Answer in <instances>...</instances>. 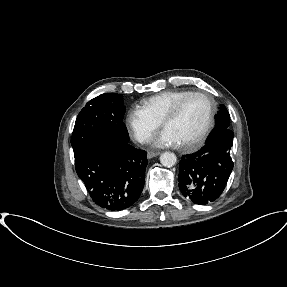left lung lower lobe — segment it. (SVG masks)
<instances>
[{
	"label": "left lung lower lobe",
	"instance_id": "obj_1",
	"mask_svg": "<svg viewBox=\"0 0 287 287\" xmlns=\"http://www.w3.org/2000/svg\"><path fill=\"white\" fill-rule=\"evenodd\" d=\"M234 133L226 129L197 152L183 155L179 162V189L193 203L205 205L222 194L233 169L230 150Z\"/></svg>",
	"mask_w": 287,
	"mask_h": 287
}]
</instances>
